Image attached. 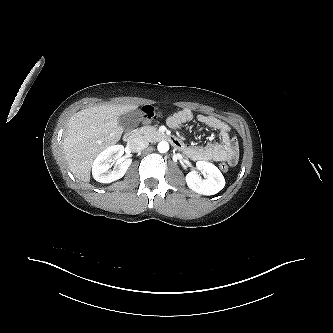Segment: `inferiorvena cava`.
Returning <instances> with one entry per match:
<instances>
[{
	"label": "inferior vena cava",
	"instance_id": "inferior-vena-cava-1",
	"mask_svg": "<svg viewBox=\"0 0 333 333\" xmlns=\"http://www.w3.org/2000/svg\"><path fill=\"white\" fill-rule=\"evenodd\" d=\"M149 145L147 140H144L142 138H136L130 141L129 148L132 151H141L145 148H147Z\"/></svg>",
	"mask_w": 333,
	"mask_h": 333
}]
</instances>
